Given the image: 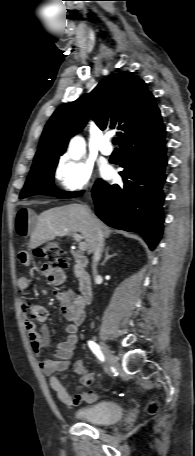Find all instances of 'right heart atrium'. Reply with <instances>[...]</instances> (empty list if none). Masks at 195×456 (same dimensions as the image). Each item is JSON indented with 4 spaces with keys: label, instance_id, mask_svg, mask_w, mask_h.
I'll return each instance as SVG.
<instances>
[{
    "label": "right heart atrium",
    "instance_id": "d8ad5b80",
    "mask_svg": "<svg viewBox=\"0 0 195 456\" xmlns=\"http://www.w3.org/2000/svg\"><path fill=\"white\" fill-rule=\"evenodd\" d=\"M55 177L64 193L75 194L90 187L92 169L83 162L62 158L55 167Z\"/></svg>",
    "mask_w": 195,
    "mask_h": 456
}]
</instances>
